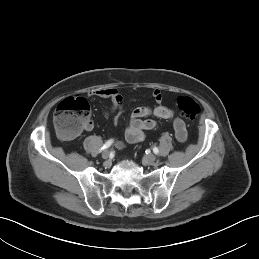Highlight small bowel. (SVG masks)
<instances>
[{"label": "small bowel", "mask_w": 259, "mask_h": 259, "mask_svg": "<svg viewBox=\"0 0 259 259\" xmlns=\"http://www.w3.org/2000/svg\"><path fill=\"white\" fill-rule=\"evenodd\" d=\"M89 97H100L108 98L111 100V106L108 111L105 112L106 117L111 113L120 111L123 106V96L116 88H104L97 89L88 95ZM153 99L157 105L153 108L141 106L135 108L130 116L128 126L125 130V140L128 143H137L144 138L145 131L152 130L157 127V121L149 117H156L159 119H172L174 118V111L161 104L162 94L159 90H154L152 92ZM175 137L178 142L184 143L187 140V130L185 123L180 118H174L173 121ZM93 128L92 121L87 126L86 130H91ZM115 146L117 148H122L124 146L122 141H115Z\"/></svg>", "instance_id": "obj_1"}]
</instances>
